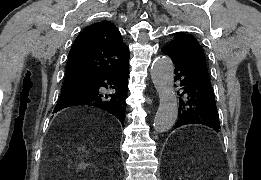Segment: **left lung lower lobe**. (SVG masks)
Segmentation results:
<instances>
[{
    "mask_svg": "<svg viewBox=\"0 0 261 180\" xmlns=\"http://www.w3.org/2000/svg\"><path fill=\"white\" fill-rule=\"evenodd\" d=\"M175 65V81L181 86L179 95V119L175 129L187 124H202L219 131V115L215 94L209 76L177 57L171 49L163 47Z\"/></svg>",
    "mask_w": 261,
    "mask_h": 180,
    "instance_id": "1",
    "label": "left lung lower lobe"
}]
</instances>
